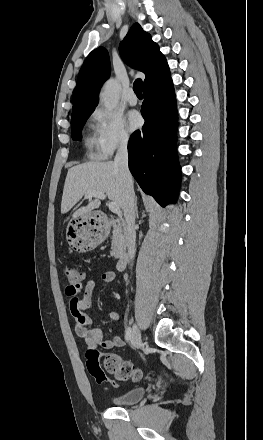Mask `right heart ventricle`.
<instances>
[{"label":"right heart ventricle","instance_id":"obj_1","mask_svg":"<svg viewBox=\"0 0 263 440\" xmlns=\"http://www.w3.org/2000/svg\"><path fill=\"white\" fill-rule=\"evenodd\" d=\"M85 146L87 150V155L91 158H100L103 156L102 152L100 151L97 139L95 133L91 132L87 136L85 140Z\"/></svg>","mask_w":263,"mask_h":440}]
</instances>
